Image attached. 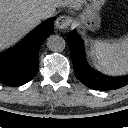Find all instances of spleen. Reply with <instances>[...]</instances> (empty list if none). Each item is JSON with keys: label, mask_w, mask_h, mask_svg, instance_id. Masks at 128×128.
Listing matches in <instances>:
<instances>
[{"label": "spleen", "mask_w": 128, "mask_h": 128, "mask_svg": "<svg viewBox=\"0 0 128 128\" xmlns=\"http://www.w3.org/2000/svg\"><path fill=\"white\" fill-rule=\"evenodd\" d=\"M91 53L102 71L111 75L128 73V38L114 43L94 40Z\"/></svg>", "instance_id": "3e777b00"}]
</instances>
